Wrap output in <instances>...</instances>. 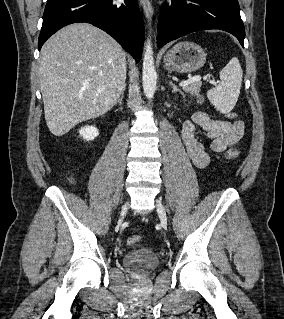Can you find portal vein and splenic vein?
<instances>
[{"instance_id": "1", "label": "portal vein and splenic vein", "mask_w": 284, "mask_h": 319, "mask_svg": "<svg viewBox=\"0 0 284 319\" xmlns=\"http://www.w3.org/2000/svg\"><path fill=\"white\" fill-rule=\"evenodd\" d=\"M201 79H202V77H201L200 75H196V76H194V77H192V78H189V79L186 80V81L181 82L179 85L182 86V87H184V86H187V85H189V84H191V83H194V82H200ZM209 83L215 84V82H214V81H211V80H209Z\"/></svg>"}]
</instances>
